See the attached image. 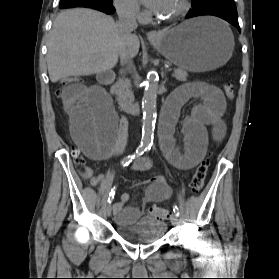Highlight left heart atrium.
Listing matches in <instances>:
<instances>
[{
	"instance_id": "left-heart-atrium-1",
	"label": "left heart atrium",
	"mask_w": 279,
	"mask_h": 279,
	"mask_svg": "<svg viewBox=\"0 0 279 279\" xmlns=\"http://www.w3.org/2000/svg\"><path fill=\"white\" fill-rule=\"evenodd\" d=\"M142 2L153 12H158L163 6L164 0H142Z\"/></svg>"
}]
</instances>
